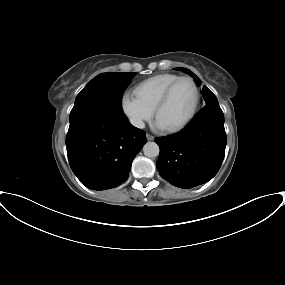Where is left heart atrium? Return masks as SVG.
<instances>
[{"instance_id":"39dd6f15","label":"left heart atrium","mask_w":285,"mask_h":285,"mask_svg":"<svg viewBox=\"0 0 285 285\" xmlns=\"http://www.w3.org/2000/svg\"><path fill=\"white\" fill-rule=\"evenodd\" d=\"M154 128L157 130H165L166 129V127L158 119H156V121L154 123Z\"/></svg>"}]
</instances>
